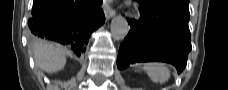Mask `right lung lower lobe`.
<instances>
[{"label":"right lung lower lobe","instance_id":"right-lung-lower-lobe-1","mask_svg":"<svg viewBox=\"0 0 228 90\" xmlns=\"http://www.w3.org/2000/svg\"><path fill=\"white\" fill-rule=\"evenodd\" d=\"M102 0H34L28 20L32 35L86 51L91 33L105 22Z\"/></svg>","mask_w":228,"mask_h":90}]
</instances>
